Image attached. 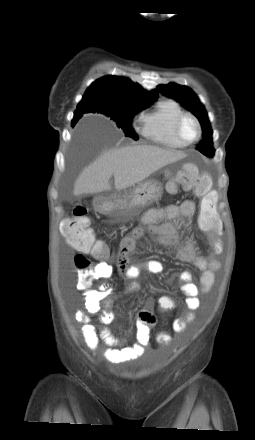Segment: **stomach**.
<instances>
[{
	"mask_svg": "<svg viewBox=\"0 0 255 440\" xmlns=\"http://www.w3.org/2000/svg\"><path fill=\"white\" fill-rule=\"evenodd\" d=\"M162 193L163 188L158 181L147 180L110 198H97L95 207L100 213L110 214L116 221L125 222L161 198Z\"/></svg>",
	"mask_w": 255,
	"mask_h": 440,
	"instance_id": "obj_1",
	"label": "stomach"
}]
</instances>
